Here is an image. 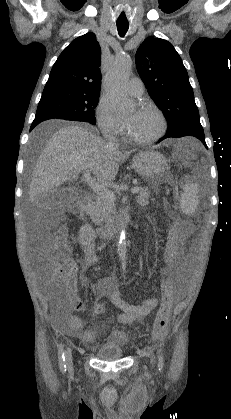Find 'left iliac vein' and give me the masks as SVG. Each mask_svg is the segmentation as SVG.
<instances>
[{
	"label": "left iliac vein",
	"mask_w": 231,
	"mask_h": 419,
	"mask_svg": "<svg viewBox=\"0 0 231 419\" xmlns=\"http://www.w3.org/2000/svg\"><path fill=\"white\" fill-rule=\"evenodd\" d=\"M151 361L154 363V355H151Z\"/></svg>",
	"instance_id": "1"
}]
</instances>
